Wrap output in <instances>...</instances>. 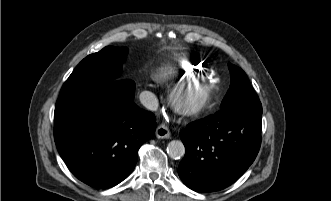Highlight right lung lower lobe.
Masks as SVG:
<instances>
[{"mask_svg":"<svg viewBox=\"0 0 331 201\" xmlns=\"http://www.w3.org/2000/svg\"><path fill=\"white\" fill-rule=\"evenodd\" d=\"M132 80H107L58 99L54 139L69 170L95 188H111L133 171L155 116L133 101Z\"/></svg>","mask_w":331,"mask_h":201,"instance_id":"1","label":"right lung lower lobe"}]
</instances>
